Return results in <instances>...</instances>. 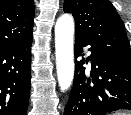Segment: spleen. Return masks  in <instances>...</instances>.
Wrapping results in <instances>:
<instances>
[{"label":"spleen","mask_w":131,"mask_h":115,"mask_svg":"<svg viewBox=\"0 0 131 115\" xmlns=\"http://www.w3.org/2000/svg\"><path fill=\"white\" fill-rule=\"evenodd\" d=\"M114 115H129V114H126V113H116Z\"/></svg>","instance_id":"1"}]
</instances>
